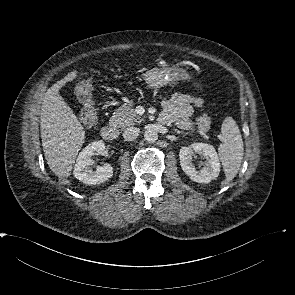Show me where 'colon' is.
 Returning <instances> with one entry per match:
<instances>
[{
  "label": "colon",
  "instance_id": "5ec220e1",
  "mask_svg": "<svg viewBox=\"0 0 295 295\" xmlns=\"http://www.w3.org/2000/svg\"><path fill=\"white\" fill-rule=\"evenodd\" d=\"M86 89L88 92V103L82 111L81 121L84 127H86L87 129H91L95 126L97 122V114L91 103L92 84L88 83Z\"/></svg>",
  "mask_w": 295,
  "mask_h": 295
}]
</instances>
